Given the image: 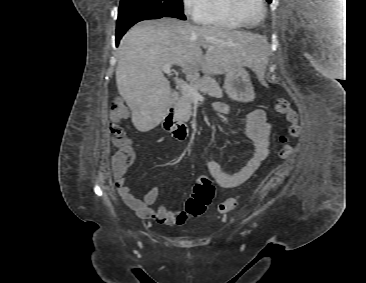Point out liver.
Instances as JSON below:
<instances>
[{"label": "liver", "mask_w": 366, "mask_h": 283, "mask_svg": "<svg viewBox=\"0 0 366 283\" xmlns=\"http://www.w3.org/2000/svg\"><path fill=\"white\" fill-rule=\"evenodd\" d=\"M263 38L222 27H201L176 18L146 20L124 35L118 50L116 83L135 128L147 132L163 120L171 89L162 67L174 63L187 75H220L249 67L263 77ZM202 48L207 49L203 54Z\"/></svg>", "instance_id": "6515ba94"}]
</instances>
